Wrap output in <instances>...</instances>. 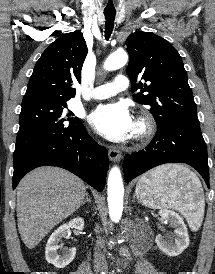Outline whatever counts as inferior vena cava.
Returning <instances> with one entry per match:
<instances>
[{"mask_svg": "<svg viewBox=\"0 0 215 274\" xmlns=\"http://www.w3.org/2000/svg\"><path fill=\"white\" fill-rule=\"evenodd\" d=\"M94 268L97 271H104L107 269V262H106L105 256L99 250L95 251Z\"/></svg>", "mask_w": 215, "mask_h": 274, "instance_id": "1", "label": "inferior vena cava"}]
</instances>
